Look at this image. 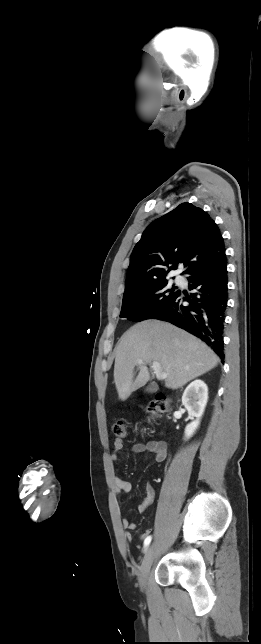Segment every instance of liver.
I'll return each mask as SVG.
<instances>
[{"label": "liver", "mask_w": 261, "mask_h": 644, "mask_svg": "<svg viewBox=\"0 0 261 644\" xmlns=\"http://www.w3.org/2000/svg\"><path fill=\"white\" fill-rule=\"evenodd\" d=\"M154 361L167 374L165 387L177 389L213 369L219 358L201 340L172 324L139 322L123 334L116 347L114 382L122 401L148 382L147 364ZM137 365L140 371L134 380Z\"/></svg>", "instance_id": "1"}]
</instances>
